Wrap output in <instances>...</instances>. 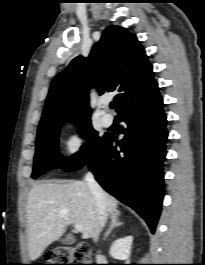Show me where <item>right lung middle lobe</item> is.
I'll return each mask as SVG.
<instances>
[{"label": "right lung middle lobe", "mask_w": 205, "mask_h": 265, "mask_svg": "<svg viewBox=\"0 0 205 265\" xmlns=\"http://www.w3.org/2000/svg\"><path fill=\"white\" fill-rule=\"evenodd\" d=\"M76 122L80 126V135L88 141L81 146V150L77 154L71 156L68 160L62 159L58 155V135L64 122L38 131L32 178L56 168L68 172L79 170L89 162L101 147L107 134L98 136L97 131L91 126L90 119Z\"/></svg>", "instance_id": "dd1d6c3e"}]
</instances>
